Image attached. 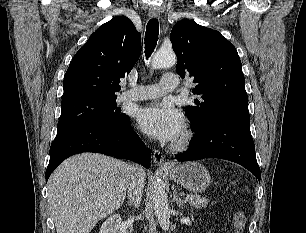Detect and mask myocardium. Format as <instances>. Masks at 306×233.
<instances>
[{
    "label": "myocardium",
    "mask_w": 306,
    "mask_h": 233,
    "mask_svg": "<svg viewBox=\"0 0 306 233\" xmlns=\"http://www.w3.org/2000/svg\"><path fill=\"white\" fill-rule=\"evenodd\" d=\"M192 139L193 131L188 125H185L181 135L175 142L172 143L171 148L174 150H183L191 144Z\"/></svg>",
    "instance_id": "obj_1"
}]
</instances>
